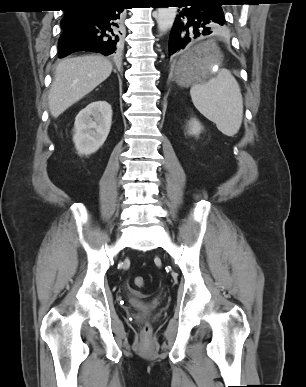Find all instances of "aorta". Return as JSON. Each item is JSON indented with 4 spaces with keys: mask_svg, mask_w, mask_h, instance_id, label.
Returning a JSON list of instances; mask_svg holds the SVG:
<instances>
[{
    "mask_svg": "<svg viewBox=\"0 0 306 387\" xmlns=\"http://www.w3.org/2000/svg\"><path fill=\"white\" fill-rule=\"evenodd\" d=\"M157 24L160 33H166L172 26L177 14V7H159Z\"/></svg>",
    "mask_w": 306,
    "mask_h": 387,
    "instance_id": "1",
    "label": "aorta"
}]
</instances>
